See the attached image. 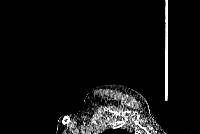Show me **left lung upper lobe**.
I'll use <instances>...</instances> for the list:
<instances>
[{
    "label": "left lung upper lobe",
    "mask_w": 200,
    "mask_h": 134,
    "mask_svg": "<svg viewBox=\"0 0 200 134\" xmlns=\"http://www.w3.org/2000/svg\"><path fill=\"white\" fill-rule=\"evenodd\" d=\"M103 134H128V132L122 129H109L104 131Z\"/></svg>",
    "instance_id": "obj_1"
}]
</instances>
